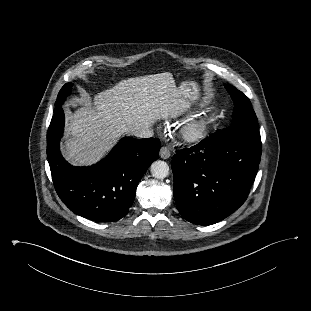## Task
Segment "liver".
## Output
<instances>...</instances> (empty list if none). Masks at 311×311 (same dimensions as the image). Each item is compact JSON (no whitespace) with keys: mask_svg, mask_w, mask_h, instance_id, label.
Here are the masks:
<instances>
[{"mask_svg":"<svg viewBox=\"0 0 311 311\" xmlns=\"http://www.w3.org/2000/svg\"><path fill=\"white\" fill-rule=\"evenodd\" d=\"M190 104L169 72L121 80L69 114L65 158L74 165L96 162L120 135L176 118Z\"/></svg>","mask_w":311,"mask_h":311,"instance_id":"6515ba94","label":"liver"}]
</instances>
